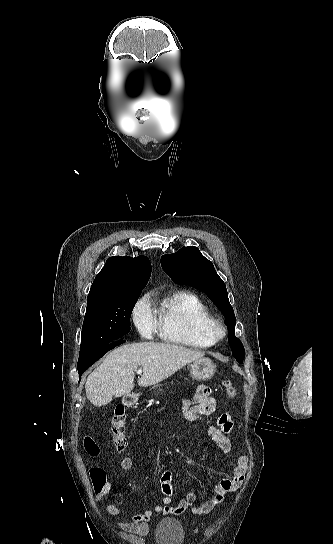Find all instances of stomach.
<instances>
[{
	"label": "stomach",
	"instance_id": "1",
	"mask_svg": "<svg viewBox=\"0 0 333 544\" xmlns=\"http://www.w3.org/2000/svg\"><path fill=\"white\" fill-rule=\"evenodd\" d=\"M214 373L215 364L207 358L195 361L190 367V375L196 380H208L213 377ZM134 399H137L136 395L134 396Z\"/></svg>",
	"mask_w": 333,
	"mask_h": 544
}]
</instances>
